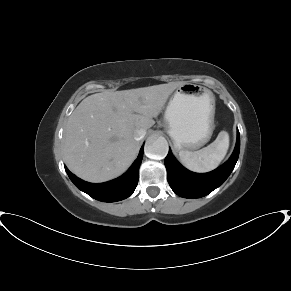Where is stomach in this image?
<instances>
[{
    "label": "stomach",
    "mask_w": 291,
    "mask_h": 291,
    "mask_svg": "<svg viewBox=\"0 0 291 291\" xmlns=\"http://www.w3.org/2000/svg\"><path fill=\"white\" fill-rule=\"evenodd\" d=\"M215 97L206 87L182 83L167 105L164 123L177 150L194 151L204 146L214 130Z\"/></svg>",
    "instance_id": "1"
}]
</instances>
